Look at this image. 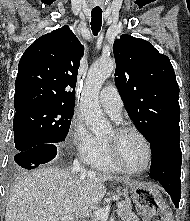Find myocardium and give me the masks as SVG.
I'll list each match as a JSON object with an SVG mask.
<instances>
[{
  "label": "myocardium",
  "mask_w": 190,
  "mask_h": 221,
  "mask_svg": "<svg viewBox=\"0 0 190 221\" xmlns=\"http://www.w3.org/2000/svg\"><path fill=\"white\" fill-rule=\"evenodd\" d=\"M114 132H115L116 137L121 136V135L128 133V132L135 133L136 135H138L146 147L147 160H146V164L143 168L138 169V170L130 169L124 165V163L122 162V160L120 158L116 140H104L108 154H109L111 160L113 161V163L121 171H123L127 174L140 175V174L147 172L150 169L152 161H153V150H152L151 143H150L149 139L146 137V135L141 130H139L137 127L131 126V125L117 126L114 128Z\"/></svg>",
  "instance_id": "myocardium-1"
}]
</instances>
